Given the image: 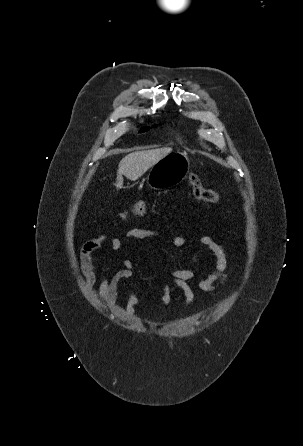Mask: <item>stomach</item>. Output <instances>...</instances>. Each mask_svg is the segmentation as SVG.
<instances>
[{
  "label": "stomach",
  "mask_w": 303,
  "mask_h": 446,
  "mask_svg": "<svg viewBox=\"0 0 303 446\" xmlns=\"http://www.w3.org/2000/svg\"><path fill=\"white\" fill-rule=\"evenodd\" d=\"M189 168L190 162L186 154L170 153L152 166L147 183L155 190L170 188L186 178Z\"/></svg>",
  "instance_id": "stomach-1"
}]
</instances>
